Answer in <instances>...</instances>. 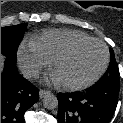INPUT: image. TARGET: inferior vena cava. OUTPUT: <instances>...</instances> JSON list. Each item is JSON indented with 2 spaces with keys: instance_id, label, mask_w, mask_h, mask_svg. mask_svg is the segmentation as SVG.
Here are the masks:
<instances>
[{
  "instance_id": "obj_1",
  "label": "inferior vena cava",
  "mask_w": 123,
  "mask_h": 123,
  "mask_svg": "<svg viewBox=\"0 0 123 123\" xmlns=\"http://www.w3.org/2000/svg\"><path fill=\"white\" fill-rule=\"evenodd\" d=\"M22 74L26 79H31V78H38L40 73L38 69L29 68V69H24L22 71Z\"/></svg>"
}]
</instances>
